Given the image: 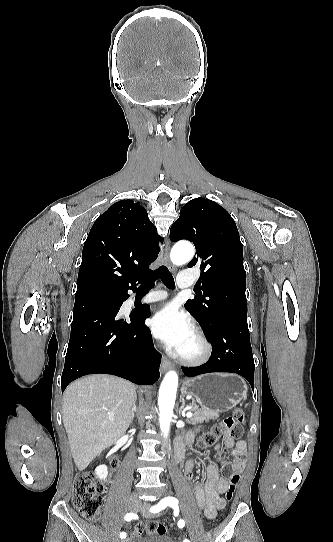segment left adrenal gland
I'll return each instance as SVG.
<instances>
[{"instance_id": "left-adrenal-gland-1", "label": "left adrenal gland", "mask_w": 333, "mask_h": 542, "mask_svg": "<svg viewBox=\"0 0 333 542\" xmlns=\"http://www.w3.org/2000/svg\"><path fill=\"white\" fill-rule=\"evenodd\" d=\"M185 396H182V406L179 410V416H181V412H183V408H185V400H184Z\"/></svg>"}]
</instances>
